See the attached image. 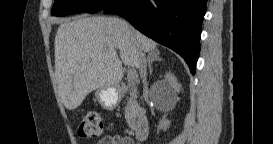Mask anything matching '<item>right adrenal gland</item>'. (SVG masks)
Returning <instances> with one entry per match:
<instances>
[{"mask_svg":"<svg viewBox=\"0 0 273 144\" xmlns=\"http://www.w3.org/2000/svg\"><path fill=\"white\" fill-rule=\"evenodd\" d=\"M147 60H148V68H149V75H152V63L153 61H161L162 58L160 57V52L158 49H155L151 52L148 53L147 56Z\"/></svg>","mask_w":273,"mask_h":144,"instance_id":"1","label":"right adrenal gland"}]
</instances>
